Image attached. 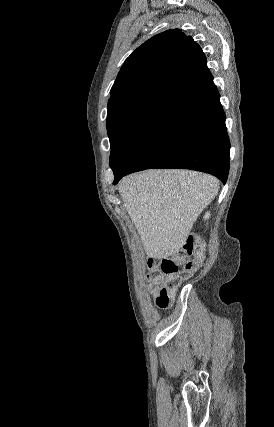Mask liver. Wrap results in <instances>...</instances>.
<instances>
[{
	"label": "liver",
	"instance_id": "6515ba94",
	"mask_svg": "<svg viewBox=\"0 0 274 427\" xmlns=\"http://www.w3.org/2000/svg\"><path fill=\"white\" fill-rule=\"evenodd\" d=\"M219 182L191 170H148L122 178L118 190L149 257L179 251Z\"/></svg>",
	"mask_w": 274,
	"mask_h": 427
}]
</instances>
